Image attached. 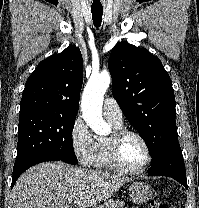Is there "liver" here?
Listing matches in <instances>:
<instances>
[{"mask_svg": "<svg viewBox=\"0 0 199 208\" xmlns=\"http://www.w3.org/2000/svg\"><path fill=\"white\" fill-rule=\"evenodd\" d=\"M128 177L74 167L63 162H45L26 170L12 193L14 208H86L110 198Z\"/></svg>", "mask_w": 199, "mask_h": 208, "instance_id": "6515ba94", "label": "liver"}]
</instances>
